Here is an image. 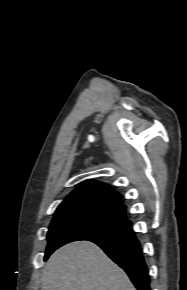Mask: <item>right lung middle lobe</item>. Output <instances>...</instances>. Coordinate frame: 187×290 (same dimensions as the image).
Returning <instances> with one entry per match:
<instances>
[{"instance_id": "1", "label": "right lung middle lobe", "mask_w": 187, "mask_h": 290, "mask_svg": "<svg viewBox=\"0 0 187 290\" xmlns=\"http://www.w3.org/2000/svg\"><path fill=\"white\" fill-rule=\"evenodd\" d=\"M130 225L126 219L102 208H76L58 212L49 227L44 259L47 260L54 250L69 242L116 233Z\"/></svg>"}]
</instances>
